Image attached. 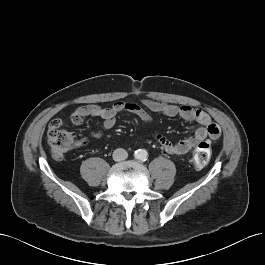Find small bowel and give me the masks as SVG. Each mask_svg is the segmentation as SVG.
Masks as SVG:
<instances>
[{
  "label": "small bowel",
  "instance_id": "c3829d8e",
  "mask_svg": "<svg viewBox=\"0 0 265 265\" xmlns=\"http://www.w3.org/2000/svg\"><path fill=\"white\" fill-rule=\"evenodd\" d=\"M141 104L142 105L123 101L116 102L108 107L89 104L75 109L71 113L70 119L74 125H80L86 117H99L102 120L103 129L109 130L114 127L118 115L122 113H131L143 122L148 123L151 121V116L147 112V110H149L153 113L167 117H180L186 121L199 123L200 127L195 130L193 136L176 143L171 142L162 134H155V139L163 150L166 153L177 157L185 155L197 142L204 140L207 137L216 140L220 136L219 125L203 110L194 109L187 105L177 106L150 99H143ZM100 136L101 132L92 133V137L94 138Z\"/></svg>",
  "mask_w": 265,
  "mask_h": 265
}]
</instances>
